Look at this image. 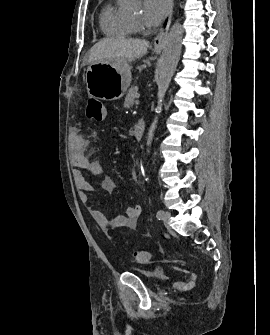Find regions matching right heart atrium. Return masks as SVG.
<instances>
[{"label": "right heart atrium", "mask_w": 270, "mask_h": 335, "mask_svg": "<svg viewBox=\"0 0 270 335\" xmlns=\"http://www.w3.org/2000/svg\"><path fill=\"white\" fill-rule=\"evenodd\" d=\"M140 31H141V28H140V26H134V32L135 33H137V34H139L140 33Z\"/></svg>", "instance_id": "1"}]
</instances>
